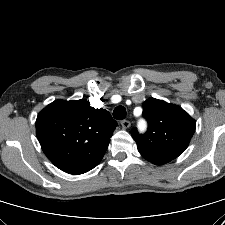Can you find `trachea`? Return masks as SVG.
I'll return each mask as SVG.
<instances>
[{
	"label": "trachea",
	"instance_id": "obj_1",
	"mask_svg": "<svg viewBox=\"0 0 225 225\" xmlns=\"http://www.w3.org/2000/svg\"><path fill=\"white\" fill-rule=\"evenodd\" d=\"M113 117L117 120L125 119L126 109L123 106H118L113 111Z\"/></svg>",
	"mask_w": 225,
	"mask_h": 225
}]
</instances>
